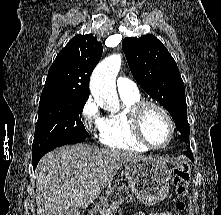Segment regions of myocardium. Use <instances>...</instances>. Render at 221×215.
I'll return each mask as SVG.
<instances>
[{"instance_id": "f54148a6", "label": "myocardium", "mask_w": 221, "mask_h": 215, "mask_svg": "<svg viewBox=\"0 0 221 215\" xmlns=\"http://www.w3.org/2000/svg\"><path fill=\"white\" fill-rule=\"evenodd\" d=\"M149 107H154V108L158 109L159 111H161L162 114L168 120V123L170 126V134H169V138H168L167 142L164 145L156 146V145L152 144L148 140V138L146 137V135L143 131V117H144V113H145L146 109ZM130 121H131V126H132V130H133L135 137L142 144H144L145 146H147L150 149L162 150V149L167 148L171 144V142L175 136L176 127H175V122H174L172 115L162 104H160L156 101L140 100V101L136 102L135 104H133L130 108Z\"/></svg>"}]
</instances>
